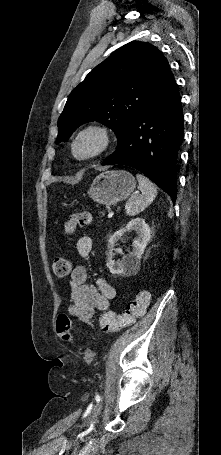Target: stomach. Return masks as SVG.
Instances as JSON below:
<instances>
[{"label": "stomach", "instance_id": "stomach-1", "mask_svg": "<svg viewBox=\"0 0 221 455\" xmlns=\"http://www.w3.org/2000/svg\"><path fill=\"white\" fill-rule=\"evenodd\" d=\"M135 187V178L129 172L124 170L105 171L93 180L88 195L99 204L112 206L127 199Z\"/></svg>", "mask_w": 221, "mask_h": 455}]
</instances>
